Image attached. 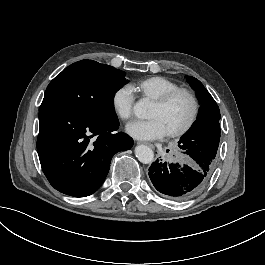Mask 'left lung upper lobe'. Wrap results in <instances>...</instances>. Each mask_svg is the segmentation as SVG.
Wrapping results in <instances>:
<instances>
[{
	"instance_id": "obj_1",
	"label": "left lung upper lobe",
	"mask_w": 265,
	"mask_h": 265,
	"mask_svg": "<svg viewBox=\"0 0 265 265\" xmlns=\"http://www.w3.org/2000/svg\"><path fill=\"white\" fill-rule=\"evenodd\" d=\"M188 83L201 103L196 121L181 137L179 147L193 160L214 166L220 142V111L217 103L196 78L187 76Z\"/></svg>"
}]
</instances>
